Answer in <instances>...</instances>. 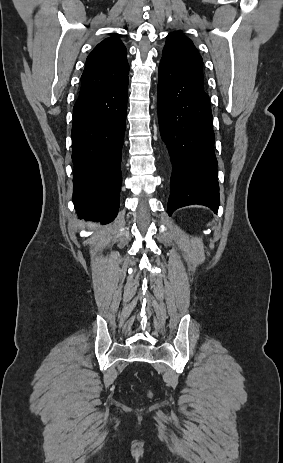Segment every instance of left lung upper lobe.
Instances as JSON below:
<instances>
[{
    "instance_id": "5c2ea615",
    "label": "left lung upper lobe",
    "mask_w": 283,
    "mask_h": 463,
    "mask_svg": "<svg viewBox=\"0 0 283 463\" xmlns=\"http://www.w3.org/2000/svg\"><path fill=\"white\" fill-rule=\"evenodd\" d=\"M162 56L161 60L167 62L188 81L198 87H204L202 57L190 39L178 32L169 33Z\"/></svg>"
}]
</instances>
